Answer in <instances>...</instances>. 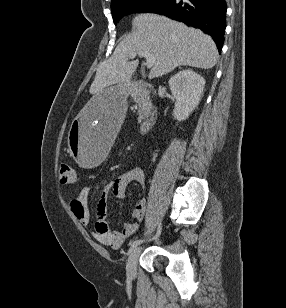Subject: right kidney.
<instances>
[{"mask_svg": "<svg viewBox=\"0 0 286 308\" xmlns=\"http://www.w3.org/2000/svg\"><path fill=\"white\" fill-rule=\"evenodd\" d=\"M168 83L176 99L174 119L186 120L201 100L205 80L194 71L186 69L172 76Z\"/></svg>", "mask_w": 286, "mask_h": 308, "instance_id": "right-kidney-1", "label": "right kidney"}]
</instances>
